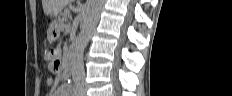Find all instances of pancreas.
<instances>
[{
  "mask_svg": "<svg viewBox=\"0 0 232 96\" xmlns=\"http://www.w3.org/2000/svg\"><path fill=\"white\" fill-rule=\"evenodd\" d=\"M71 19V10L70 8H66L63 13H61L60 18V29L64 31L66 28V23Z\"/></svg>",
  "mask_w": 232,
  "mask_h": 96,
  "instance_id": "pancreas-1",
  "label": "pancreas"
}]
</instances>
